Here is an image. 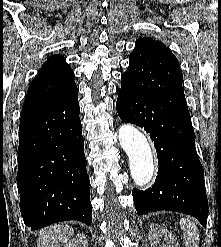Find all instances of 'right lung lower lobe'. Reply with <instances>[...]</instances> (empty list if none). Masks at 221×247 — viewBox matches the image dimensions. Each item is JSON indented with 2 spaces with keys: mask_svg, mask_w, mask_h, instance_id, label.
Returning a JSON list of instances; mask_svg holds the SVG:
<instances>
[{
  "mask_svg": "<svg viewBox=\"0 0 221 247\" xmlns=\"http://www.w3.org/2000/svg\"><path fill=\"white\" fill-rule=\"evenodd\" d=\"M17 185L21 215L31 230L65 220L91 225L78 89L22 111Z\"/></svg>",
  "mask_w": 221,
  "mask_h": 247,
  "instance_id": "right-lung-lower-lobe-1",
  "label": "right lung lower lobe"
}]
</instances>
